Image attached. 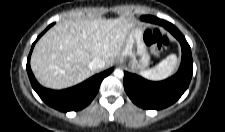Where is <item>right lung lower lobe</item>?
I'll use <instances>...</instances> for the list:
<instances>
[{
    "label": "right lung lower lobe",
    "mask_w": 225,
    "mask_h": 132,
    "mask_svg": "<svg viewBox=\"0 0 225 132\" xmlns=\"http://www.w3.org/2000/svg\"><path fill=\"white\" fill-rule=\"evenodd\" d=\"M51 26L52 25H49L48 28H50ZM41 35L38 36L37 40L41 37ZM36 41L33 43L32 49ZM32 49L27 59V66H26L27 73H28L30 82L32 84V87L36 91V93L39 95V97L47 105L62 112L78 111L86 107L93 100V98L99 91V87L102 80L106 76H108L114 69V68L108 69L100 74L92 76L91 78L82 82L81 84H78L74 87H71L65 90H60V91L50 90V89H46L42 87L36 81L31 71L30 56H31Z\"/></svg>",
    "instance_id": "98d812e1"
}]
</instances>
